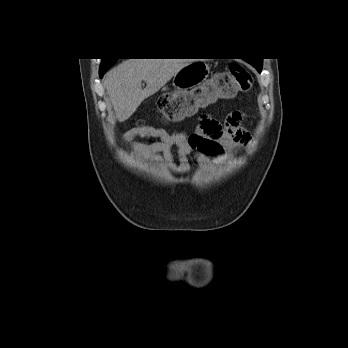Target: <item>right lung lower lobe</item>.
Instances as JSON below:
<instances>
[{
	"instance_id": "obj_1",
	"label": "right lung lower lobe",
	"mask_w": 348,
	"mask_h": 348,
	"mask_svg": "<svg viewBox=\"0 0 348 348\" xmlns=\"http://www.w3.org/2000/svg\"><path fill=\"white\" fill-rule=\"evenodd\" d=\"M109 68H100V78L103 77L104 73L108 70Z\"/></svg>"
}]
</instances>
